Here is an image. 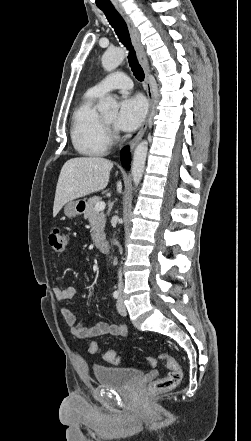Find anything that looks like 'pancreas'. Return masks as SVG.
<instances>
[{
	"mask_svg": "<svg viewBox=\"0 0 251 441\" xmlns=\"http://www.w3.org/2000/svg\"><path fill=\"white\" fill-rule=\"evenodd\" d=\"M99 201H101V198L98 196L89 198L86 204V209L84 211V217L89 220V223L92 227L91 238L96 243L104 239L105 237V214L102 211L95 210V204Z\"/></svg>",
	"mask_w": 251,
	"mask_h": 441,
	"instance_id": "cf45deb5",
	"label": "pancreas"
}]
</instances>
